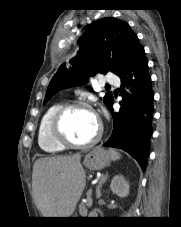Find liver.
Wrapping results in <instances>:
<instances>
[{"instance_id": "liver-1", "label": "liver", "mask_w": 181, "mask_h": 227, "mask_svg": "<svg viewBox=\"0 0 181 227\" xmlns=\"http://www.w3.org/2000/svg\"><path fill=\"white\" fill-rule=\"evenodd\" d=\"M81 155L46 157L36 160L32 189L37 208L44 217H69L85 187Z\"/></svg>"}]
</instances>
